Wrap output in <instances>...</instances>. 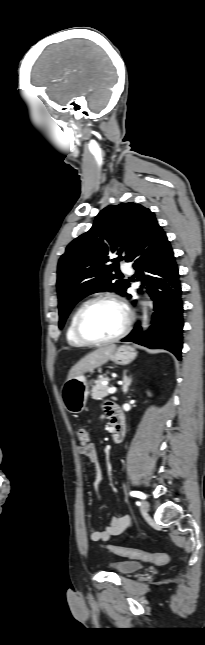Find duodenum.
Returning a JSON list of instances; mask_svg holds the SVG:
<instances>
[{
  "instance_id": "1",
  "label": "duodenum",
  "mask_w": 205,
  "mask_h": 645,
  "mask_svg": "<svg viewBox=\"0 0 205 645\" xmlns=\"http://www.w3.org/2000/svg\"><path fill=\"white\" fill-rule=\"evenodd\" d=\"M112 439L115 443H120L125 435V421L120 409L115 406L112 412Z\"/></svg>"
}]
</instances>
